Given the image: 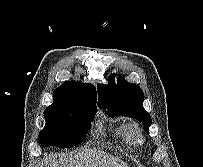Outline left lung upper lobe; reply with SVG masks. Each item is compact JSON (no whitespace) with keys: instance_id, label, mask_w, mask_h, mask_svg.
Instances as JSON below:
<instances>
[{"instance_id":"5c2ea615","label":"left lung upper lobe","mask_w":203,"mask_h":167,"mask_svg":"<svg viewBox=\"0 0 203 167\" xmlns=\"http://www.w3.org/2000/svg\"><path fill=\"white\" fill-rule=\"evenodd\" d=\"M114 77L115 75L109 76L108 85H97L99 107L107 109L112 117L122 115L137 119L143 123L144 130L149 133L152 119L143 107L142 89L136 84L129 83L123 77H118L116 84Z\"/></svg>"}]
</instances>
